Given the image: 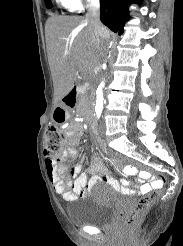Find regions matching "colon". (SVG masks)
Segmentation results:
<instances>
[{"label":"colon","mask_w":183,"mask_h":246,"mask_svg":"<svg viewBox=\"0 0 183 246\" xmlns=\"http://www.w3.org/2000/svg\"><path fill=\"white\" fill-rule=\"evenodd\" d=\"M56 120L57 122H63L65 120V111L63 109L56 111ZM62 144L63 134L61 131L55 125H49L44 135V150L47 156L56 159ZM107 152L112 154L116 160H122L127 165H130V167H138L139 169H143V171L147 170L151 172V175H157L159 179L158 186L153 191L140 198L132 210L121 214L119 229L130 228L138 221L150 205L160 197L162 185L164 182H170V177L167 174H162V170H154L153 167H147L145 162H134L132 157L121 155L116 149H109Z\"/></svg>","instance_id":"colon-1"}]
</instances>
